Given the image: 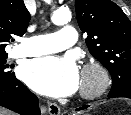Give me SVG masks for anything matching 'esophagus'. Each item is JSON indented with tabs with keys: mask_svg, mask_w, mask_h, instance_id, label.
I'll return each mask as SVG.
<instances>
[{
	"mask_svg": "<svg viewBox=\"0 0 131 115\" xmlns=\"http://www.w3.org/2000/svg\"><path fill=\"white\" fill-rule=\"evenodd\" d=\"M60 107L56 103L48 104V113L50 115H60Z\"/></svg>",
	"mask_w": 131,
	"mask_h": 115,
	"instance_id": "34e87169",
	"label": "esophagus"
}]
</instances>
